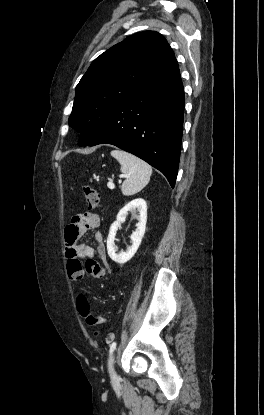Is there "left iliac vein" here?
Here are the masks:
<instances>
[{"mask_svg":"<svg viewBox=\"0 0 264 415\" xmlns=\"http://www.w3.org/2000/svg\"><path fill=\"white\" fill-rule=\"evenodd\" d=\"M110 376L113 379L117 377L116 371L114 369V356L111 357V361H110Z\"/></svg>","mask_w":264,"mask_h":415,"instance_id":"left-iliac-vein-1","label":"left iliac vein"}]
</instances>
